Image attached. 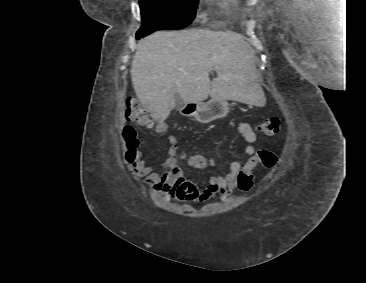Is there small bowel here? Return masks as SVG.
Returning <instances> with one entry per match:
<instances>
[{"label": "small bowel", "instance_id": "obj_1", "mask_svg": "<svg viewBox=\"0 0 366 283\" xmlns=\"http://www.w3.org/2000/svg\"><path fill=\"white\" fill-rule=\"evenodd\" d=\"M237 130L243 136L246 146L244 152L250 158V161L256 154L257 136L252 127L241 122ZM168 156L162 166L155 169L149 166L142 159L140 152H135L129 160L130 167L139 177L145 178V184L154 192L161 196L174 199L185 203L205 202L216 194H230L237 186V180L240 172L245 167L238 161H232L229 164L228 171L224 175H216L208 178L204 182H197L188 177L187 171L180 165L178 157L179 142L175 136H169ZM193 159L203 161L202 166H194ZM189 164L204 168L212 163L211 160L203 156H193L188 160Z\"/></svg>", "mask_w": 366, "mask_h": 283}]
</instances>
